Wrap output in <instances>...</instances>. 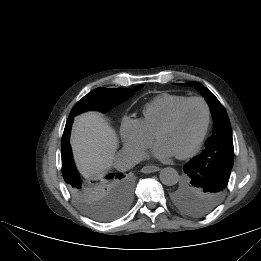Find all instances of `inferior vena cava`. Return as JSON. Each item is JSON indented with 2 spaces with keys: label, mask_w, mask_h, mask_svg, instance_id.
Returning a JSON list of instances; mask_svg holds the SVG:
<instances>
[{
  "label": "inferior vena cava",
  "mask_w": 261,
  "mask_h": 261,
  "mask_svg": "<svg viewBox=\"0 0 261 261\" xmlns=\"http://www.w3.org/2000/svg\"><path fill=\"white\" fill-rule=\"evenodd\" d=\"M144 154L140 150L122 148L114 157L113 165L119 171H126L140 163Z\"/></svg>",
  "instance_id": "obj_1"
}]
</instances>
